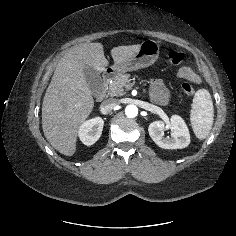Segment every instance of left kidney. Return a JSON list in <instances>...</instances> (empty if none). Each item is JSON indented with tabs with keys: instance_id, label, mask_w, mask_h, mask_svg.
I'll return each mask as SVG.
<instances>
[{
	"instance_id": "5707ae66",
	"label": "left kidney",
	"mask_w": 236,
	"mask_h": 236,
	"mask_svg": "<svg viewBox=\"0 0 236 236\" xmlns=\"http://www.w3.org/2000/svg\"><path fill=\"white\" fill-rule=\"evenodd\" d=\"M171 129V137H164V130ZM151 139L164 149H182L189 145L190 134L184 120L173 115L170 122L154 121L148 127Z\"/></svg>"
}]
</instances>
